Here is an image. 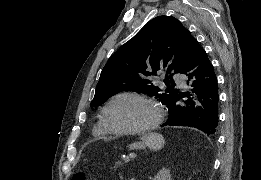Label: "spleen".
Segmentation results:
<instances>
[{"instance_id": "3e777b00", "label": "spleen", "mask_w": 261, "mask_h": 180, "mask_svg": "<svg viewBox=\"0 0 261 180\" xmlns=\"http://www.w3.org/2000/svg\"><path fill=\"white\" fill-rule=\"evenodd\" d=\"M141 140H143V142H153V144H160V146H163L164 144V140L162 138V136H160V134H154V132H151V134H144V136H142Z\"/></svg>"}]
</instances>
